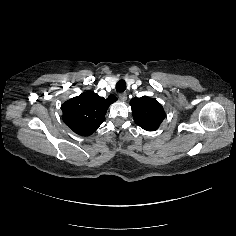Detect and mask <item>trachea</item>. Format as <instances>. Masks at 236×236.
<instances>
[{
    "label": "trachea",
    "mask_w": 236,
    "mask_h": 236,
    "mask_svg": "<svg viewBox=\"0 0 236 236\" xmlns=\"http://www.w3.org/2000/svg\"><path fill=\"white\" fill-rule=\"evenodd\" d=\"M115 88L118 93H123L126 89V82L124 80H119Z\"/></svg>",
    "instance_id": "1"
}]
</instances>
